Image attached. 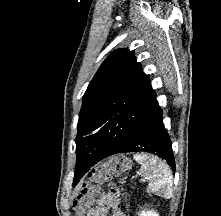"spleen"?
Here are the masks:
<instances>
[{
  "mask_svg": "<svg viewBox=\"0 0 221 216\" xmlns=\"http://www.w3.org/2000/svg\"><path fill=\"white\" fill-rule=\"evenodd\" d=\"M134 159L141 165L140 172L147 178L148 190L165 199L173 195V176L169 166L156 156L136 154Z\"/></svg>",
  "mask_w": 221,
  "mask_h": 216,
  "instance_id": "3e777b00",
  "label": "spleen"
}]
</instances>
